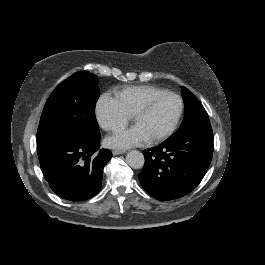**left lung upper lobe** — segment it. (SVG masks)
I'll use <instances>...</instances> for the list:
<instances>
[{
    "label": "left lung upper lobe",
    "mask_w": 265,
    "mask_h": 265,
    "mask_svg": "<svg viewBox=\"0 0 265 265\" xmlns=\"http://www.w3.org/2000/svg\"><path fill=\"white\" fill-rule=\"evenodd\" d=\"M182 96L185 105L184 119L178 131L174 135L181 134L197 126L210 123L206 110L203 108L196 96L186 87H182Z\"/></svg>",
    "instance_id": "5c2ea615"
}]
</instances>
